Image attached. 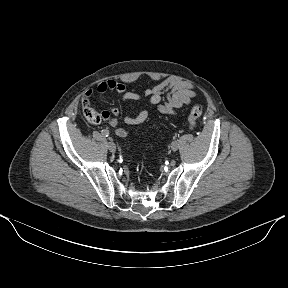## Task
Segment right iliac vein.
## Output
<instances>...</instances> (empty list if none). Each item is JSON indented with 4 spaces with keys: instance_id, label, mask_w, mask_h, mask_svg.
Listing matches in <instances>:
<instances>
[{
    "instance_id": "1",
    "label": "right iliac vein",
    "mask_w": 288,
    "mask_h": 288,
    "mask_svg": "<svg viewBox=\"0 0 288 288\" xmlns=\"http://www.w3.org/2000/svg\"><path fill=\"white\" fill-rule=\"evenodd\" d=\"M107 146H108V149H109L111 152L114 153V152L116 151V145H115L114 142L109 141L108 144H107Z\"/></svg>"
}]
</instances>
